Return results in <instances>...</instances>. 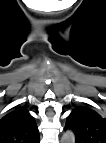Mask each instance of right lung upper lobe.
<instances>
[{"label": "right lung upper lobe", "instance_id": "right-lung-upper-lobe-1", "mask_svg": "<svg viewBox=\"0 0 106 143\" xmlns=\"http://www.w3.org/2000/svg\"><path fill=\"white\" fill-rule=\"evenodd\" d=\"M39 131L30 113L18 107L0 118V143H37Z\"/></svg>", "mask_w": 106, "mask_h": 143}]
</instances>
